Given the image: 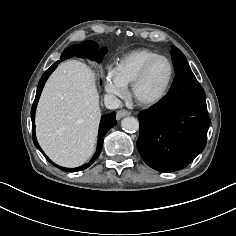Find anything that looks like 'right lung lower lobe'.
<instances>
[{"label":"right lung lower lobe","instance_id":"98d812e1","mask_svg":"<svg viewBox=\"0 0 236 236\" xmlns=\"http://www.w3.org/2000/svg\"><path fill=\"white\" fill-rule=\"evenodd\" d=\"M98 46L95 42L93 41H85L82 42L79 45H73L70 48L66 49L61 57L60 60L56 61L41 77L39 83H38V88H37V92H36V96H35V100L31 109V119H32V128H33V142L35 144V146L42 152V154L47 158V160L49 162H51V160H49V158L44 154V152L42 151V149L40 148L36 136H35V111H36V106L40 97V94L42 92V89L44 87V84L46 82V80L48 79V77L50 76V74L55 70V68L58 66V64L62 61H64L67 58H70L71 56L76 55L77 57H87L91 60H96L98 62H101L103 55L106 53V48H102L99 51L97 50ZM117 124L116 121V113L112 112L110 114H106L103 115L101 118V122H100V127H99V133H98V143H97V151L94 154L93 158L91 159V161L87 164H84L80 167L77 168H64V167H60L57 166L59 169L63 170V171H67V172H76V171H82L85 170L86 168H88L99 156L101 149H102V144H103V137L105 136V134L113 127ZM52 163V162H51ZM54 165V163H52Z\"/></svg>","mask_w":236,"mask_h":236}]
</instances>
